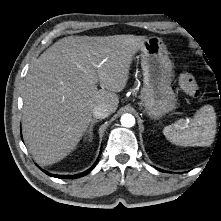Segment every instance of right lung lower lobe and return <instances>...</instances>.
<instances>
[{
	"instance_id": "98d812e1",
	"label": "right lung lower lobe",
	"mask_w": 221,
	"mask_h": 221,
	"mask_svg": "<svg viewBox=\"0 0 221 221\" xmlns=\"http://www.w3.org/2000/svg\"><path fill=\"white\" fill-rule=\"evenodd\" d=\"M94 166H95V164L90 169L86 170L85 172H83L81 174H76V175H53V174H49L48 172H45V173L50 176L60 178V179H75V178H78V177L88 174L94 168Z\"/></svg>"
}]
</instances>
